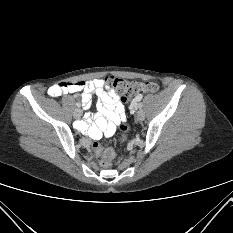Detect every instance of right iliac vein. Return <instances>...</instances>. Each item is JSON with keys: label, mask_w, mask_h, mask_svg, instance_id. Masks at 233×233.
Wrapping results in <instances>:
<instances>
[{"label": "right iliac vein", "mask_w": 233, "mask_h": 233, "mask_svg": "<svg viewBox=\"0 0 233 233\" xmlns=\"http://www.w3.org/2000/svg\"><path fill=\"white\" fill-rule=\"evenodd\" d=\"M75 118H80L82 116V110L81 109H75L73 113Z\"/></svg>", "instance_id": "63e3f726"}]
</instances>
